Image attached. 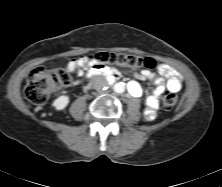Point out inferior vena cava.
Here are the masks:
<instances>
[{"label":"inferior vena cava","mask_w":222,"mask_h":187,"mask_svg":"<svg viewBox=\"0 0 222 187\" xmlns=\"http://www.w3.org/2000/svg\"><path fill=\"white\" fill-rule=\"evenodd\" d=\"M108 85L107 80L104 77H101L100 79L97 80L96 82V90L101 93L103 92V88Z\"/></svg>","instance_id":"602c4592"}]
</instances>
